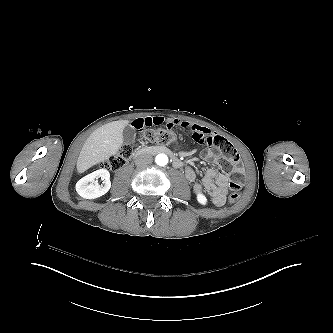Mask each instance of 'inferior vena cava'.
<instances>
[{"instance_id": "inferior-vena-cava-1", "label": "inferior vena cava", "mask_w": 333, "mask_h": 333, "mask_svg": "<svg viewBox=\"0 0 333 333\" xmlns=\"http://www.w3.org/2000/svg\"><path fill=\"white\" fill-rule=\"evenodd\" d=\"M152 162H153V157L148 153L141 154L135 159L136 166H145Z\"/></svg>"}]
</instances>
